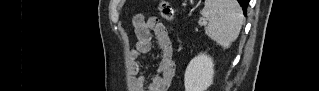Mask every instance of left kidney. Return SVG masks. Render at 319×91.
<instances>
[{"label":"left kidney","instance_id":"left-kidney-1","mask_svg":"<svg viewBox=\"0 0 319 91\" xmlns=\"http://www.w3.org/2000/svg\"><path fill=\"white\" fill-rule=\"evenodd\" d=\"M214 63L207 54H199L188 64L185 75V91H206L213 83Z\"/></svg>","mask_w":319,"mask_h":91}]
</instances>
